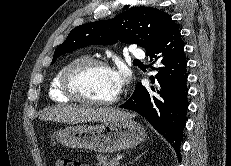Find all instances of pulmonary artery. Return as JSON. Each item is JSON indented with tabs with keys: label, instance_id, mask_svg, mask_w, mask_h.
<instances>
[{
	"label": "pulmonary artery",
	"instance_id": "pulmonary-artery-1",
	"mask_svg": "<svg viewBox=\"0 0 231 166\" xmlns=\"http://www.w3.org/2000/svg\"><path fill=\"white\" fill-rule=\"evenodd\" d=\"M129 53L134 58H139V59L144 58V52L136 46H131L129 48Z\"/></svg>",
	"mask_w": 231,
	"mask_h": 166
}]
</instances>
